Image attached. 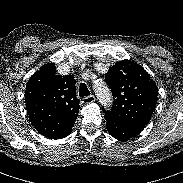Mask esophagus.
Masks as SVG:
<instances>
[{
  "label": "esophagus",
  "instance_id": "34e87169",
  "mask_svg": "<svg viewBox=\"0 0 183 183\" xmlns=\"http://www.w3.org/2000/svg\"><path fill=\"white\" fill-rule=\"evenodd\" d=\"M95 100H96L95 96L94 95H90V96L84 97L82 99V103L87 105V104H91V103L95 102Z\"/></svg>",
  "mask_w": 183,
  "mask_h": 183
}]
</instances>
